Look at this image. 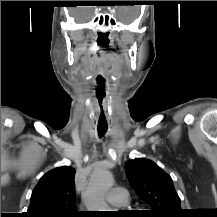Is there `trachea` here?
<instances>
[{"label":"trachea","mask_w":217,"mask_h":217,"mask_svg":"<svg viewBox=\"0 0 217 217\" xmlns=\"http://www.w3.org/2000/svg\"><path fill=\"white\" fill-rule=\"evenodd\" d=\"M107 131V127H98L99 136H102Z\"/></svg>","instance_id":"trachea-1"}]
</instances>
